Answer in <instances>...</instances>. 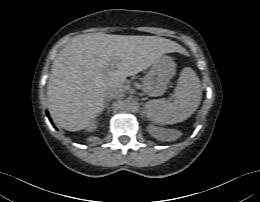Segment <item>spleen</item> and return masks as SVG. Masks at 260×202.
Listing matches in <instances>:
<instances>
[{
	"label": "spleen",
	"mask_w": 260,
	"mask_h": 202,
	"mask_svg": "<svg viewBox=\"0 0 260 202\" xmlns=\"http://www.w3.org/2000/svg\"><path fill=\"white\" fill-rule=\"evenodd\" d=\"M201 100V85L196 73L184 68L174 90L173 102L163 99L145 103L147 117L158 124H174L189 118Z\"/></svg>",
	"instance_id": "obj_1"
}]
</instances>
